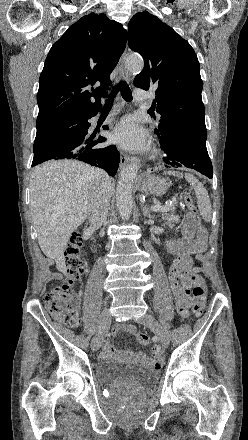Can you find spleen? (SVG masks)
Segmentation results:
<instances>
[{"instance_id": "spleen-1", "label": "spleen", "mask_w": 248, "mask_h": 440, "mask_svg": "<svg viewBox=\"0 0 248 440\" xmlns=\"http://www.w3.org/2000/svg\"><path fill=\"white\" fill-rule=\"evenodd\" d=\"M174 175L183 178V174L176 171H168L165 174ZM186 180L192 185L197 196V206L204 221L210 222L212 218V209L209 195L202 183L192 174H185Z\"/></svg>"}]
</instances>
